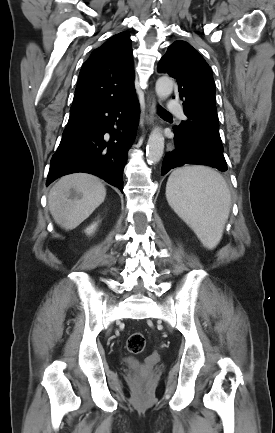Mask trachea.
<instances>
[{"instance_id":"3493384b","label":"trachea","mask_w":275,"mask_h":433,"mask_svg":"<svg viewBox=\"0 0 275 433\" xmlns=\"http://www.w3.org/2000/svg\"><path fill=\"white\" fill-rule=\"evenodd\" d=\"M160 112L163 114V115H170V113H168L165 109H163V108H160Z\"/></svg>"}]
</instances>
